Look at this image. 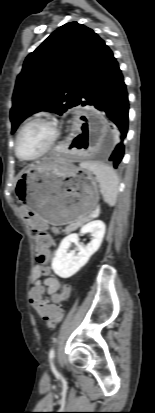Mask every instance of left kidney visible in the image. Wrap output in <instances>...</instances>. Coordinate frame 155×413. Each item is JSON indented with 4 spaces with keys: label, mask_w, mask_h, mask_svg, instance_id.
I'll return each instance as SVG.
<instances>
[{
    "label": "left kidney",
    "mask_w": 155,
    "mask_h": 413,
    "mask_svg": "<svg viewBox=\"0 0 155 413\" xmlns=\"http://www.w3.org/2000/svg\"><path fill=\"white\" fill-rule=\"evenodd\" d=\"M105 228V224L101 220H94L84 225L80 233H91L93 237L86 246L78 244V234L73 233L66 236L61 241L52 260L51 266L54 273L61 278H69L76 274L99 249L105 234ZM72 243H76L78 246L79 252L77 254L74 251L68 253Z\"/></svg>",
    "instance_id": "5707ae66"
}]
</instances>
